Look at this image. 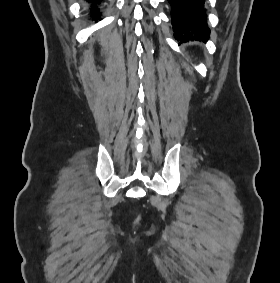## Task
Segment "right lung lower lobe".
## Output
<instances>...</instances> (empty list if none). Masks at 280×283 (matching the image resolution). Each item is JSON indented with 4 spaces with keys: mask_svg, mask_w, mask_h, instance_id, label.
<instances>
[{
    "mask_svg": "<svg viewBox=\"0 0 280 283\" xmlns=\"http://www.w3.org/2000/svg\"><path fill=\"white\" fill-rule=\"evenodd\" d=\"M89 2H92L93 7L91 8V14L94 20H101L100 19V13L98 11V8L96 7L97 4L101 2V0H87Z\"/></svg>",
    "mask_w": 280,
    "mask_h": 283,
    "instance_id": "98d812e1",
    "label": "right lung lower lobe"
}]
</instances>
